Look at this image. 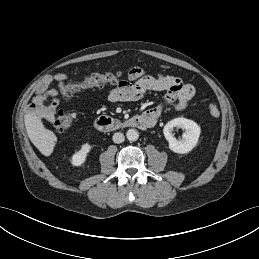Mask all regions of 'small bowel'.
I'll return each instance as SVG.
<instances>
[{"label": "small bowel", "mask_w": 259, "mask_h": 259, "mask_svg": "<svg viewBox=\"0 0 259 259\" xmlns=\"http://www.w3.org/2000/svg\"><path fill=\"white\" fill-rule=\"evenodd\" d=\"M68 75L55 74L53 79L57 82L65 81ZM148 91H164L163 101L144 112L154 122L161 116L165 107L173 105L176 110H185L195 94L192 84L184 82L181 78L171 74L158 73L148 75L140 67H133L128 72L127 80L121 81L116 86L107 90L108 99L112 102L137 101L143 98ZM51 100L49 105L45 102ZM59 99L55 89L49 88V80H45L36 90L32 98L28 112L41 121L50 124L55 122Z\"/></svg>", "instance_id": "obj_1"}]
</instances>
